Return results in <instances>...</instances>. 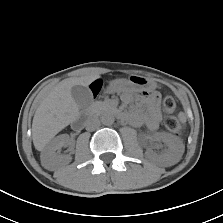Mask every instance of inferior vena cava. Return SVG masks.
Segmentation results:
<instances>
[{"label":"inferior vena cava","mask_w":223,"mask_h":223,"mask_svg":"<svg viewBox=\"0 0 223 223\" xmlns=\"http://www.w3.org/2000/svg\"><path fill=\"white\" fill-rule=\"evenodd\" d=\"M100 126V120L98 118H91L86 122V130L94 131Z\"/></svg>","instance_id":"1"}]
</instances>
